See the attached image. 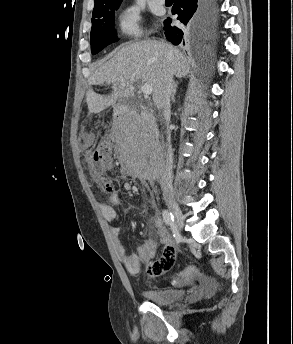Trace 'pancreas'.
Returning <instances> with one entry per match:
<instances>
[{
    "label": "pancreas",
    "instance_id": "1",
    "mask_svg": "<svg viewBox=\"0 0 293 344\" xmlns=\"http://www.w3.org/2000/svg\"><path fill=\"white\" fill-rule=\"evenodd\" d=\"M142 134H143V131L140 128L131 130V133H130L131 138H140Z\"/></svg>",
    "mask_w": 293,
    "mask_h": 344
}]
</instances>
